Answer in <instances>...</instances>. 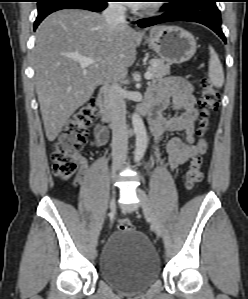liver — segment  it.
I'll use <instances>...</instances> for the list:
<instances>
[{"mask_svg": "<svg viewBox=\"0 0 248 299\" xmlns=\"http://www.w3.org/2000/svg\"><path fill=\"white\" fill-rule=\"evenodd\" d=\"M161 27H153L150 35ZM135 33L110 26L103 15L64 9L46 17L36 31L35 86L48 141H54L71 115L112 76H125L136 59ZM89 57L81 67L73 57Z\"/></svg>", "mask_w": 248, "mask_h": 299, "instance_id": "6515ba94", "label": "liver"}]
</instances>
